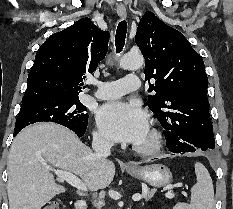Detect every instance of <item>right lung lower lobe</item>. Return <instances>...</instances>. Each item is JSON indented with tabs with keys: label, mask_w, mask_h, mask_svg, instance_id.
Instances as JSON below:
<instances>
[{
	"label": "right lung lower lobe",
	"mask_w": 233,
	"mask_h": 209,
	"mask_svg": "<svg viewBox=\"0 0 233 209\" xmlns=\"http://www.w3.org/2000/svg\"><path fill=\"white\" fill-rule=\"evenodd\" d=\"M86 128H84L83 130H77V129H71V130L74 131L79 137H82L85 134ZM21 129L22 128L14 129L13 136L15 137L20 132Z\"/></svg>",
	"instance_id": "obj_1"
}]
</instances>
